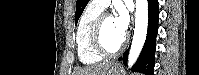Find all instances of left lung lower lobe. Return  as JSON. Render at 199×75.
<instances>
[{
	"label": "left lung lower lobe",
	"mask_w": 199,
	"mask_h": 75,
	"mask_svg": "<svg viewBox=\"0 0 199 75\" xmlns=\"http://www.w3.org/2000/svg\"><path fill=\"white\" fill-rule=\"evenodd\" d=\"M148 12L149 19L146 41L137 62L132 67V71L141 72L145 75H154V54L159 17L158 0H148ZM127 59L128 50L123 54V57L119 58V61L122 60L124 65H127Z\"/></svg>",
	"instance_id": "obj_1"
}]
</instances>
